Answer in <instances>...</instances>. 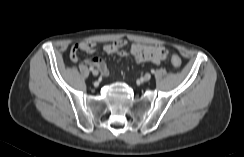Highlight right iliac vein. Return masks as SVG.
Masks as SVG:
<instances>
[{
    "mask_svg": "<svg viewBox=\"0 0 244 157\" xmlns=\"http://www.w3.org/2000/svg\"><path fill=\"white\" fill-rule=\"evenodd\" d=\"M92 74H93V76H98L99 72H98L97 70H94V71L92 72Z\"/></svg>",
    "mask_w": 244,
    "mask_h": 157,
    "instance_id": "1",
    "label": "right iliac vein"
}]
</instances>
